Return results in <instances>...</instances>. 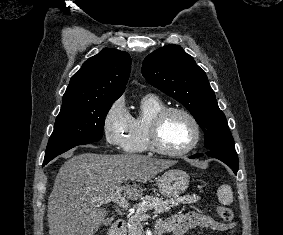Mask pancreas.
I'll return each mask as SVG.
<instances>
[{"label": "pancreas", "instance_id": "obj_1", "mask_svg": "<svg viewBox=\"0 0 283 235\" xmlns=\"http://www.w3.org/2000/svg\"><path fill=\"white\" fill-rule=\"evenodd\" d=\"M198 200L199 197L195 195H185L169 200H163V198L160 197L147 195L141 199L139 204H137L135 214L128 218V235H144L140 218L145 215L148 210H154V214L158 215L168 212L172 207L179 204H193Z\"/></svg>", "mask_w": 283, "mask_h": 235}]
</instances>
